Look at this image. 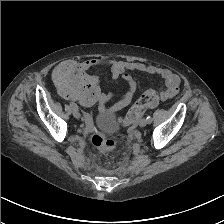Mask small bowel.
<instances>
[{
  "instance_id": "1",
  "label": "small bowel",
  "mask_w": 224,
  "mask_h": 224,
  "mask_svg": "<svg viewBox=\"0 0 224 224\" xmlns=\"http://www.w3.org/2000/svg\"><path fill=\"white\" fill-rule=\"evenodd\" d=\"M84 69L104 67L111 70L113 78L122 77L127 85V90L120 97L117 103L118 108H124L132 101L137 84L135 79L129 74V71H137L159 76L165 84V87L159 92L161 100H168L175 97L179 90L180 78L177 74L166 68L145 65L134 61H117L106 58H92L82 63Z\"/></svg>"
}]
</instances>
